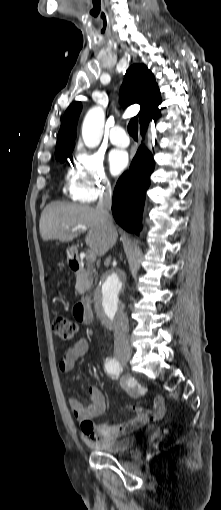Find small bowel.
<instances>
[{
  "label": "small bowel",
  "mask_w": 221,
  "mask_h": 510,
  "mask_svg": "<svg viewBox=\"0 0 221 510\" xmlns=\"http://www.w3.org/2000/svg\"><path fill=\"white\" fill-rule=\"evenodd\" d=\"M88 343L85 339L76 340L66 351L59 361V369L62 373H70L75 362L86 354ZM131 395H135L134 389H129ZM89 404L83 405L75 397H68V405L75 418L80 422L84 435L98 442H111L120 436L131 432L149 421L161 418L165 412V400L163 396L155 397L150 409L128 405L127 408L135 413V416L126 423L94 422L93 420L104 415L106 412V400L102 391L95 385L88 388Z\"/></svg>",
  "instance_id": "c3829d8e"
}]
</instances>
